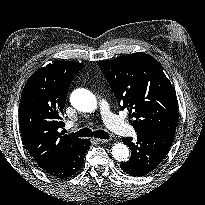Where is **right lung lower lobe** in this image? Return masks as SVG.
Returning <instances> with one entry per match:
<instances>
[{
    "instance_id": "obj_1",
    "label": "right lung lower lobe",
    "mask_w": 205,
    "mask_h": 205,
    "mask_svg": "<svg viewBox=\"0 0 205 205\" xmlns=\"http://www.w3.org/2000/svg\"><path fill=\"white\" fill-rule=\"evenodd\" d=\"M90 144V141L83 140L79 146L71 150L61 160L44 168V171L58 178L75 175L84 163V156Z\"/></svg>"
}]
</instances>
